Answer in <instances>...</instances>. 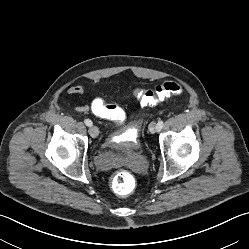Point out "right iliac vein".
<instances>
[{
	"instance_id": "right-iliac-vein-1",
	"label": "right iliac vein",
	"mask_w": 249,
	"mask_h": 249,
	"mask_svg": "<svg viewBox=\"0 0 249 249\" xmlns=\"http://www.w3.org/2000/svg\"><path fill=\"white\" fill-rule=\"evenodd\" d=\"M89 133L93 138L98 137L99 135V129L96 126H90L89 128Z\"/></svg>"
}]
</instances>
